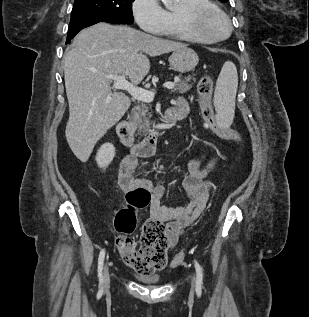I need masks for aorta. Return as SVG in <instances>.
I'll return each instance as SVG.
<instances>
[{"label": "aorta", "mask_w": 309, "mask_h": 317, "mask_svg": "<svg viewBox=\"0 0 309 317\" xmlns=\"http://www.w3.org/2000/svg\"><path fill=\"white\" fill-rule=\"evenodd\" d=\"M175 0H162L166 8H171Z\"/></svg>", "instance_id": "aorta-1"}]
</instances>
